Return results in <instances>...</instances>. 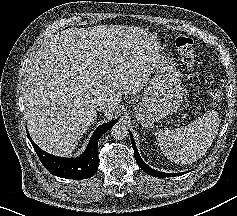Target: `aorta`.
<instances>
[{
	"label": "aorta",
	"instance_id": "aorta-1",
	"mask_svg": "<svg viewBox=\"0 0 237 216\" xmlns=\"http://www.w3.org/2000/svg\"><path fill=\"white\" fill-rule=\"evenodd\" d=\"M128 128L127 126L122 122H117L113 125L111 128V135L116 140H123L128 135Z\"/></svg>",
	"mask_w": 237,
	"mask_h": 216
}]
</instances>
